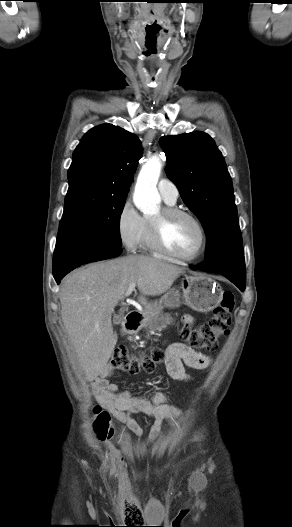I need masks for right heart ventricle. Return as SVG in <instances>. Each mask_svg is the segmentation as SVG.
Masks as SVG:
<instances>
[{
	"label": "right heart ventricle",
	"instance_id": "e07e8e85",
	"mask_svg": "<svg viewBox=\"0 0 292 527\" xmlns=\"http://www.w3.org/2000/svg\"><path fill=\"white\" fill-rule=\"evenodd\" d=\"M167 206H174L175 203L168 202L164 200ZM139 247L143 251L147 252H156V249L154 248L151 237H150V230H149V221L147 218H144L143 227L139 239Z\"/></svg>",
	"mask_w": 292,
	"mask_h": 527
}]
</instances>
